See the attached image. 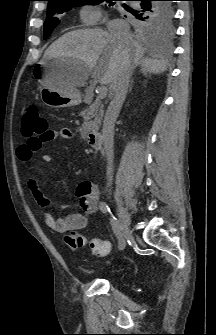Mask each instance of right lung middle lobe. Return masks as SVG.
<instances>
[{
    "mask_svg": "<svg viewBox=\"0 0 216 335\" xmlns=\"http://www.w3.org/2000/svg\"><path fill=\"white\" fill-rule=\"evenodd\" d=\"M104 1L109 2V5H114L116 3L115 1L117 0H65L49 4L47 10L48 17L46 18L44 23V39L48 38L52 30L59 24V19L57 17L58 14H62L63 12L69 10L74 6H80L85 4H98ZM158 6L163 10L172 9V4L170 2H162ZM125 9L131 13L128 14L129 17L133 19L137 23V25L145 32L164 35L172 34V23L162 22L157 17L144 22L139 19L140 16L135 10L127 6Z\"/></svg>",
    "mask_w": 216,
    "mask_h": 335,
    "instance_id": "1",
    "label": "right lung middle lobe"
}]
</instances>
